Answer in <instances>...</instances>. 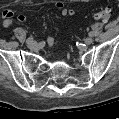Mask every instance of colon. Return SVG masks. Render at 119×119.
I'll return each instance as SVG.
<instances>
[{
    "label": "colon",
    "instance_id": "colon-1",
    "mask_svg": "<svg viewBox=\"0 0 119 119\" xmlns=\"http://www.w3.org/2000/svg\"><path fill=\"white\" fill-rule=\"evenodd\" d=\"M112 13L113 12H112V9L110 7H105V8L100 9L96 13L95 17L98 20H101V21H105L106 22V21H109L111 19Z\"/></svg>",
    "mask_w": 119,
    "mask_h": 119
}]
</instances>
